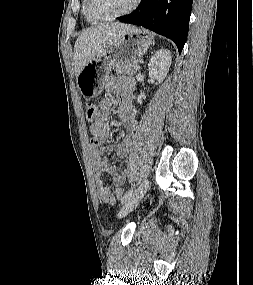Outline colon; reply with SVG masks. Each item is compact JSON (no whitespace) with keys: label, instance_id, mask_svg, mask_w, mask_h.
<instances>
[{"label":"colon","instance_id":"colon-1","mask_svg":"<svg viewBox=\"0 0 253 285\" xmlns=\"http://www.w3.org/2000/svg\"><path fill=\"white\" fill-rule=\"evenodd\" d=\"M96 114V106L94 104L88 103L86 104V117L88 120H92L95 117ZM118 194L120 196H123L124 190L122 188H119L117 190Z\"/></svg>","mask_w":253,"mask_h":285}]
</instances>
